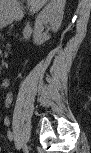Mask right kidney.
I'll use <instances>...</instances> for the list:
<instances>
[{
    "label": "right kidney",
    "mask_w": 91,
    "mask_h": 153,
    "mask_svg": "<svg viewBox=\"0 0 91 153\" xmlns=\"http://www.w3.org/2000/svg\"><path fill=\"white\" fill-rule=\"evenodd\" d=\"M65 0H51L37 15L33 33L34 43L42 45L50 39L47 33H43L44 26L48 23L54 32H57L63 19Z\"/></svg>",
    "instance_id": "obj_1"
}]
</instances>
